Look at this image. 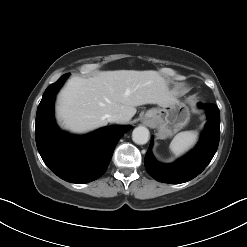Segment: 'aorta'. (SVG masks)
Returning a JSON list of instances; mask_svg holds the SVG:
<instances>
[{
  "label": "aorta",
  "instance_id": "obj_1",
  "mask_svg": "<svg viewBox=\"0 0 247 247\" xmlns=\"http://www.w3.org/2000/svg\"><path fill=\"white\" fill-rule=\"evenodd\" d=\"M149 136V130L144 126H139L132 132V140L139 145L146 144L149 140Z\"/></svg>",
  "mask_w": 247,
  "mask_h": 247
}]
</instances>
